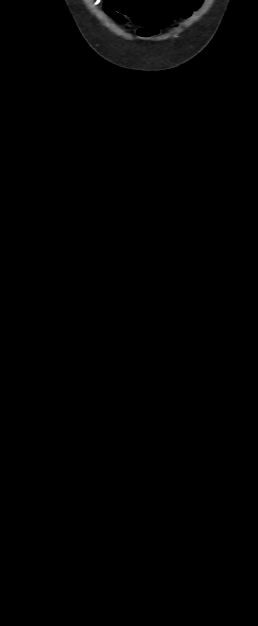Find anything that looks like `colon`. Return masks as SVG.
<instances>
[{"label":"colon","instance_id":"1","mask_svg":"<svg viewBox=\"0 0 258 626\" xmlns=\"http://www.w3.org/2000/svg\"><path fill=\"white\" fill-rule=\"evenodd\" d=\"M118 8H119L120 10H123V8H121V7H118ZM153 22H154V24H159V25H161V24H162V22L155 21V20H153ZM154 24H153V25H154Z\"/></svg>","mask_w":258,"mask_h":626}]
</instances>
